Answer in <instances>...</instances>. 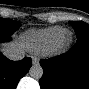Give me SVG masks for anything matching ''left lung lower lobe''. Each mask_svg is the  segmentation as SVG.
I'll return each instance as SVG.
<instances>
[{
    "instance_id": "0a47b994",
    "label": "left lung lower lobe",
    "mask_w": 89,
    "mask_h": 89,
    "mask_svg": "<svg viewBox=\"0 0 89 89\" xmlns=\"http://www.w3.org/2000/svg\"><path fill=\"white\" fill-rule=\"evenodd\" d=\"M41 89H89V38L79 37L66 53L41 59Z\"/></svg>"
}]
</instances>
